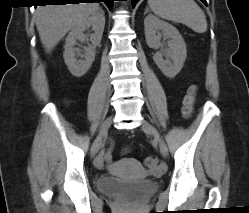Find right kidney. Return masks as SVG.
<instances>
[{
	"label": "right kidney",
	"mask_w": 249,
	"mask_h": 213,
	"mask_svg": "<svg viewBox=\"0 0 249 213\" xmlns=\"http://www.w3.org/2000/svg\"><path fill=\"white\" fill-rule=\"evenodd\" d=\"M104 26L105 16L101 12H97L76 25L66 37L63 57L69 71L75 77L83 76L90 69L95 59L96 46L100 44L102 39ZM90 27H92L94 31V33L89 36L91 45L85 48V53L82 55L80 49L75 48L74 45L77 40L84 42L87 39L84 31ZM76 55L84 56L85 59L78 61Z\"/></svg>",
	"instance_id": "obj_1"
}]
</instances>
